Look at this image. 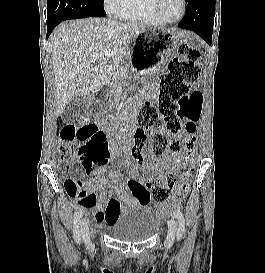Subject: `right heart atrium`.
Listing matches in <instances>:
<instances>
[{
	"instance_id": "right-heart-atrium-1",
	"label": "right heart atrium",
	"mask_w": 265,
	"mask_h": 273,
	"mask_svg": "<svg viewBox=\"0 0 265 273\" xmlns=\"http://www.w3.org/2000/svg\"><path fill=\"white\" fill-rule=\"evenodd\" d=\"M124 0H104L105 10L112 15H117L123 5Z\"/></svg>"
}]
</instances>
